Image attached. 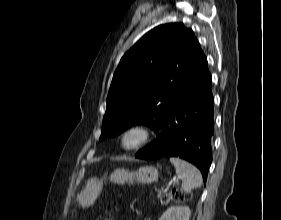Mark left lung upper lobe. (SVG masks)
<instances>
[{"mask_svg":"<svg viewBox=\"0 0 281 220\" xmlns=\"http://www.w3.org/2000/svg\"><path fill=\"white\" fill-rule=\"evenodd\" d=\"M204 57L193 31L182 23L146 33L114 73L100 140L134 124H145L157 134L174 106L177 89Z\"/></svg>","mask_w":281,"mask_h":220,"instance_id":"5c2ea615","label":"left lung upper lobe"}]
</instances>
